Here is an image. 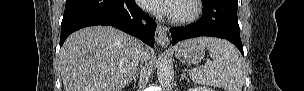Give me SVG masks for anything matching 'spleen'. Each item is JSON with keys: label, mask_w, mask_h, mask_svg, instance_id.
<instances>
[{"label": "spleen", "mask_w": 304, "mask_h": 91, "mask_svg": "<svg viewBox=\"0 0 304 91\" xmlns=\"http://www.w3.org/2000/svg\"><path fill=\"white\" fill-rule=\"evenodd\" d=\"M198 42L209 50L212 62L190 71L194 83L242 91L244 66L238 50L227 40L204 37Z\"/></svg>", "instance_id": "3e777b00"}]
</instances>
